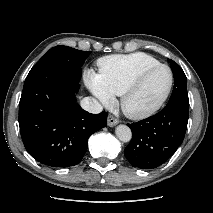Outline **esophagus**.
Instances as JSON below:
<instances>
[{
  "label": "esophagus",
  "mask_w": 213,
  "mask_h": 213,
  "mask_svg": "<svg viewBox=\"0 0 213 213\" xmlns=\"http://www.w3.org/2000/svg\"><path fill=\"white\" fill-rule=\"evenodd\" d=\"M117 124H118V120L115 117H113L112 115H109L107 118V125L110 127H113Z\"/></svg>",
  "instance_id": "obj_1"
}]
</instances>
